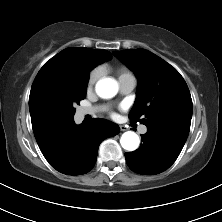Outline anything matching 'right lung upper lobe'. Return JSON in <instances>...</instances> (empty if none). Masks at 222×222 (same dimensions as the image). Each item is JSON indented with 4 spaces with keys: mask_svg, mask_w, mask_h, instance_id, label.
<instances>
[{
    "mask_svg": "<svg viewBox=\"0 0 222 222\" xmlns=\"http://www.w3.org/2000/svg\"><path fill=\"white\" fill-rule=\"evenodd\" d=\"M111 57V53L103 49L69 47L43 65L32 84L29 97V109L36 139L42 136L53 122H41L38 115L41 94L50 87L56 76L65 69L74 67L93 69L98 64L110 60Z\"/></svg>",
    "mask_w": 222,
    "mask_h": 222,
    "instance_id": "obj_1",
    "label": "right lung upper lobe"
}]
</instances>
